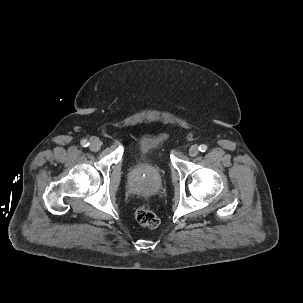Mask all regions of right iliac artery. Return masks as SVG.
I'll list each match as a JSON object with an SVG mask.
<instances>
[{"label":"right iliac artery","instance_id":"82829eb1","mask_svg":"<svg viewBox=\"0 0 303 303\" xmlns=\"http://www.w3.org/2000/svg\"><path fill=\"white\" fill-rule=\"evenodd\" d=\"M81 145H82L83 147H87V146L89 145V142H88L86 139H83V140L81 141Z\"/></svg>","mask_w":303,"mask_h":303}]
</instances>
